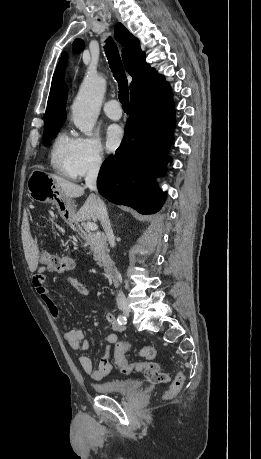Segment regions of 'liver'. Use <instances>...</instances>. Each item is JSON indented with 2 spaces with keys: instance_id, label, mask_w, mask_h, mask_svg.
<instances>
[{
  "instance_id": "obj_1",
  "label": "liver",
  "mask_w": 261,
  "mask_h": 459,
  "mask_svg": "<svg viewBox=\"0 0 261 459\" xmlns=\"http://www.w3.org/2000/svg\"><path fill=\"white\" fill-rule=\"evenodd\" d=\"M51 178L54 179L56 184L61 188L63 194L66 198H78L84 194V187H81L78 184L70 182L60 176L50 174ZM94 220L96 221V212L94 207V201L90 195L83 206L79 209L75 215L76 221H85V220ZM25 258L28 263L29 269L31 272H34L38 267L39 261V251L36 242L32 239L29 233L26 234L23 241Z\"/></svg>"
}]
</instances>
